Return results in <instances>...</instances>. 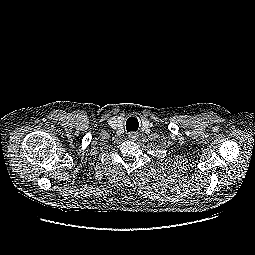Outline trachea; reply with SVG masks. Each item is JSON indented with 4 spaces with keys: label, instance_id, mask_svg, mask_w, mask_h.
I'll list each match as a JSON object with an SVG mask.
<instances>
[{
    "label": "trachea",
    "instance_id": "obj_1",
    "mask_svg": "<svg viewBox=\"0 0 255 255\" xmlns=\"http://www.w3.org/2000/svg\"><path fill=\"white\" fill-rule=\"evenodd\" d=\"M138 120L135 117L128 118L126 122V129L128 132L130 131H137L138 130Z\"/></svg>",
    "mask_w": 255,
    "mask_h": 255
}]
</instances>
